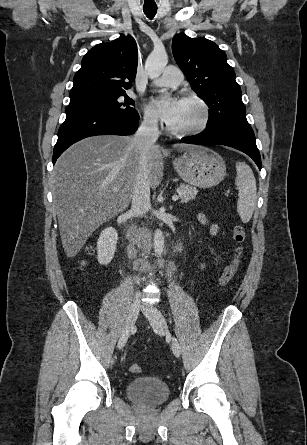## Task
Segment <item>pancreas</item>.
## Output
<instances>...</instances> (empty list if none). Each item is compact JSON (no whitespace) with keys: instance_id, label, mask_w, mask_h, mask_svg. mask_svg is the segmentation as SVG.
Masks as SVG:
<instances>
[{"instance_id":"1","label":"pancreas","mask_w":307,"mask_h":445,"mask_svg":"<svg viewBox=\"0 0 307 445\" xmlns=\"http://www.w3.org/2000/svg\"><path fill=\"white\" fill-rule=\"evenodd\" d=\"M179 188L182 192L180 202H188V200H193L198 192L196 186H190V184H184V182H181Z\"/></svg>"}]
</instances>
